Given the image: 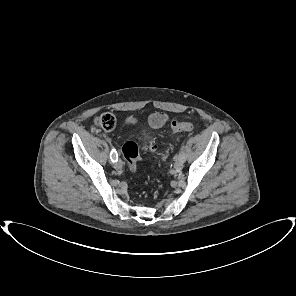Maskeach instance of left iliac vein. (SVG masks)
<instances>
[{"label": "left iliac vein", "instance_id": "1", "mask_svg": "<svg viewBox=\"0 0 296 296\" xmlns=\"http://www.w3.org/2000/svg\"><path fill=\"white\" fill-rule=\"evenodd\" d=\"M184 166V161L181 158H178L174 164V168L176 171H180Z\"/></svg>", "mask_w": 296, "mask_h": 296}]
</instances>
